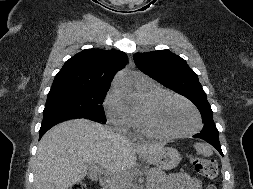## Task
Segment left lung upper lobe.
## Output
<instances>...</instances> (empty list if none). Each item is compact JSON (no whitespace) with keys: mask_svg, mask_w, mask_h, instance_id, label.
<instances>
[{"mask_svg":"<svg viewBox=\"0 0 253 189\" xmlns=\"http://www.w3.org/2000/svg\"><path fill=\"white\" fill-rule=\"evenodd\" d=\"M133 59L143 73L185 96L199 109L204 121L201 132L218 133L206 93L184 59L169 50L136 53Z\"/></svg>","mask_w":253,"mask_h":189,"instance_id":"5c2ea615","label":"left lung upper lobe"}]
</instances>
